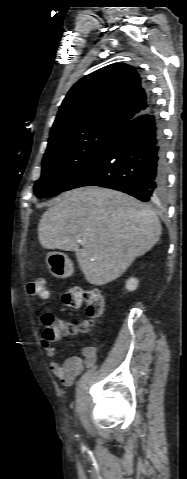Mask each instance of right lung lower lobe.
<instances>
[{
	"mask_svg": "<svg viewBox=\"0 0 187 479\" xmlns=\"http://www.w3.org/2000/svg\"><path fill=\"white\" fill-rule=\"evenodd\" d=\"M101 186L143 202L162 199L167 190L164 135L154 109L130 121L104 152L64 189Z\"/></svg>",
	"mask_w": 187,
	"mask_h": 479,
	"instance_id": "98d812e1",
	"label": "right lung lower lobe"
}]
</instances>
